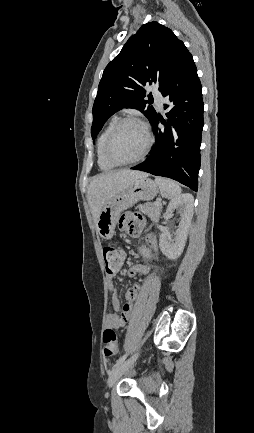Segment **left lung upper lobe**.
<instances>
[{"instance_id":"left-lung-upper-lobe-1","label":"left lung upper lobe","mask_w":254,"mask_h":433,"mask_svg":"<svg viewBox=\"0 0 254 433\" xmlns=\"http://www.w3.org/2000/svg\"><path fill=\"white\" fill-rule=\"evenodd\" d=\"M186 52L169 28L155 21L142 25L103 72L93 105L92 138L122 108L138 109L151 122L156 111L147 106L144 86L156 84L161 92Z\"/></svg>"}]
</instances>
